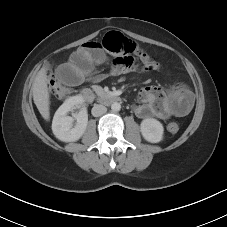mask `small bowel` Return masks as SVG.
I'll return each instance as SVG.
<instances>
[{
	"instance_id": "obj_1",
	"label": "small bowel",
	"mask_w": 227,
	"mask_h": 227,
	"mask_svg": "<svg viewBox=\"0 0 227 227\" xmlns=\"http://www.w3.org/2000/svg\"><path fill=\"white\" fill-rule=\"evenodd\" d=\"M106 60L102 45L97 41L83 43L72 55L70 63L61 64L55 71L56 80L65 87H83L88 81L100 82L102 75L89 77L91 70ZM133 57H116L112 60V74L120 75L135 69ZM193 107V96L184 85H173L168 92L158 86H147L138 95L135 114L142 119H167L184 116Z\"/></svg>"
}]
</instances>
